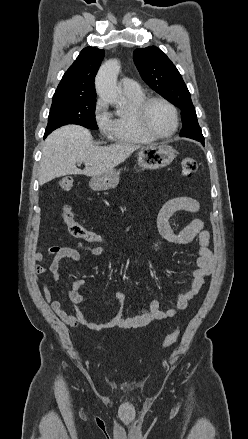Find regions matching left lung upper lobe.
Masks as SVG:
<instances>
[{"label":"left lung upper lobe","instance_id":"5c2ea615","mask_svg":"<svg viewBox=\"0 0 248 439\" xmlns=\"http://www.w3.org/2000/svg\"><path fill=\"white\" fill-rule=\"evenodd\" d=\"M134 62L147 85L180 108L183 124L180 136L204 144L190 93L171 60L159 48L151 46L136 49Z\"/></svg>","mask_w":248,"mask_h":439}]
</instances>
